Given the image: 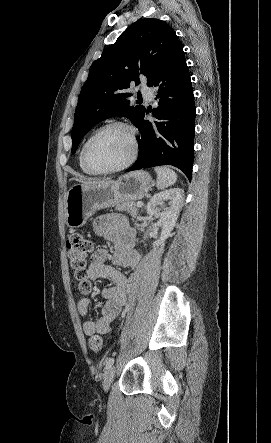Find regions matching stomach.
Segmentation results:
<instances>
[{"instance_id":"0dacf381","label":"stomach","mask_w":271,"mask_h":443,"mask_svg":"<svg viewBox=\"0 0 271 443\" xmlns=\"http://www.w3.org/2000/svg\"><path fill=\"white\" fill-rule=\"evenodd\" d=\"M154 182L148 172L138 170L120 176L116 182L76 184L67 192L65 222L70 229L81 227L101 208H114L119 202L142 200L153 188Z\"/></svg>"}]
</instances>
